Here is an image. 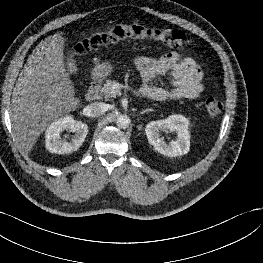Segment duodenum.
Returning a JSON list of instances; mask_svg holds the SVG:
<instances>
[{
    "label": "duodenum",
    "mask_w": 263,
    "mask_h": 263,
    "mask_svg": "<svg viewBox=\"0 0 263 263\" xmlns=\"http://www.w3.org/2000/svg\"><path fill=\"white\" fill-rule=\"evenodd\" d=\"M99 89H100V84L97 81H93L85 94V97L88 101H92L94 99H96V97L98 96L99 93Z\"/></svg>",
    "instance_id": "obj_1"
}]
</instances>
